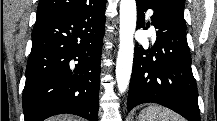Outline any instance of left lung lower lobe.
<instances>
[{"label": "left lung lower lobe", "instance_id": "left-lung-lower-lobe-1", "mask_svg": "<svg viewBox=\"0 0 217 121\" xmlns=\"http://www.w3.org/2000/svg\"><path fill=\"white\" fill-rule=\"evenodd\" d=\"M137 29H145V12L154 10V46H135L128 111L143 103H158L189 121H200L198 92L191 69L186 25L158 0H136Z\"/></svg>", "mask_w": 217, "mask_h": 121}]
</instances>
